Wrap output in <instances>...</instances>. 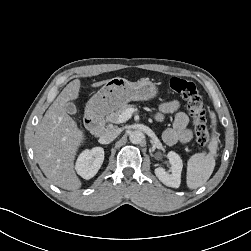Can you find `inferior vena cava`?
Listing matches in <instances>:
<instances>
[{
  "label": "inferior vena cava",
  "instance_id": "602c4592",
  "mask_svg": "<svg viewBox=\"0 0 251 251\" xmlns=\"http://www.w3.org/2000/svg\"><path fill=\"white\" fill-rule=\"evenodd\" d=\"M120 134L119 129H108L100 137V142L102 144L111 143Z\"/></svg>",
  "mask_w": 251,
  "mask_h": 251
}]
</instances>
